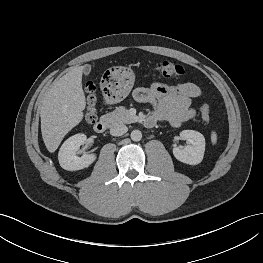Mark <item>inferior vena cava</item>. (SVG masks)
I'll return each instance as SVG.
<instances>
[{
	"instance_id": "602c4592",
	"label": "inferior vena cava",
	"mask_w": 263,
	"mask_h": 263,
	"mask_svg": "<svg viewBox=\"0 0 263 263\" xmlns=\"http://www.w3.org/2000/svg\"><path fill=\"white\" fill-rule=\"evenodd\" d=\"M128 131V128L124 124H116L111 127L110 134L113 136H122Z\"/></svg>"
}]
</instances>
